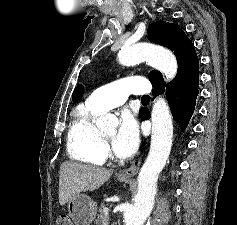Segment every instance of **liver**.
Instances as JSON below:
<instances>
[{
  "label": "liver",
  "mask_w": 237,
  "mask_h": 225,
  "mask_svg": "<svg viewBox=\"0 0 237 225\" xmlns=\"http://www.w3.org/2000/svg\"><path fill=\"white\" fill-rule=\"evenodd\" d=\"M113 174L112 170L76 162H63L59 171V203L65 205L81 192L102 186Z\"/></svg>",
  "instance_id": "1"
}]
</instances>
